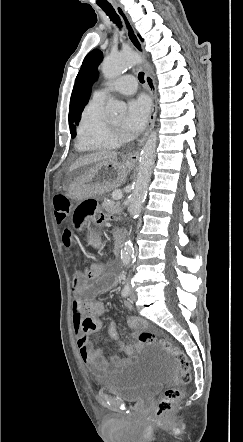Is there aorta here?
<instances>
[{"label":"aorta","instance_id":"1","mask_svg":"<svg viewBox=\"0 0 243 442\" xmlns=\"http://www.w3.org/2000/svg\"><path fill=\"white\" fill-rule=\"evenodd\" d=\"M140 62V57L132 51L107 56L102 64V72L106 78H116L125 70L133 68ZM106 108L110 114L116 115L125 111L126 105L122 101L111 98ZM156 147L157 133L153 131L141 151L138 173L134 181L133 191L130 195L128 211L133 218H137L142 210L155 163ZM134 258L133 244L130 240H126L121 249V259L125 263H131Z\"/></svg>","mask_w":243,"mask_h":442}]
</instances>
